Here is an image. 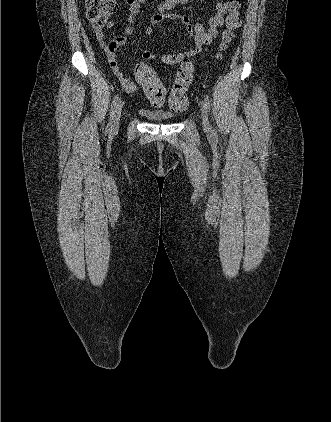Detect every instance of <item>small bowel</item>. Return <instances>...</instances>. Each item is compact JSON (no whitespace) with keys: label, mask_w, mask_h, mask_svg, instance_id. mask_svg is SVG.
<instances>
[{"label":"small bowel","mask_w":331,"mask_h":422,"mask_svg":"<svg viewBox=\"0 0 331 422\" xmlns=\"http://www.w3.org/2000/svg\"><path fill=\"white\" fill-rule=\"evenodd\" d=\"M128 6V25L126 26L124 32L121 35L114 37L109 42L106 40L105 35L101 29V26L92 24V31L99 43V45L104 49L109 65L113 70L115 76L117 77L121 87L128 93H135L140 91L143 88V85L136 79L133 81L126 77L118 67L116 60L118 50L126 43L127 37L133 33V24L136 16L141 10L142 4L146 0H125ZM191 0H177L174 4L179 3L182 5L190 4ZM173 5H170L168 2L163 0L158 8L157 12L152 16L151 23L157 24L164 19L175 20L180 19L186 26L187 31L190 35L191 40L194 45L185 51L177 53H163L156 55L150 50H144L142 56L145 59H155L159 58L166 65H180L184 60L192 59L198 55L202 48L206 45L212 43V41L218 35V29L222 26L224 22V17L230 9V1H219L215 5V13L210 16L208 19L207 26H204L201 23V18H197V22L194 25H191L190 18L186 15H175V14H166L165 12L170 9ZM107 28L113 27L112 21L106 22ZM153 29L151 26L145 28V34L149 37L151 36ZM163 103V100L158 102H153L155 105H160Z\"/></svg>","instance_id":"small-bowel-1"}]
</instances>
